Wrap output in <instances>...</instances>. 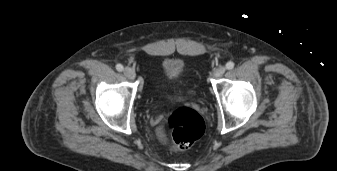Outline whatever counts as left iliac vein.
Listing matches in <instances>:
<instances>
[{"mask_svg": "<svg viewBox=\"0 0 337 171\" xmlns=\"http://www.w3.org/2000/svg\"><path fill=\"white\" fill-rule=\"evenodd\" d=\"M225 71H226V68L224 66H220L214 70L212 77L219 78L225 73Z\"/></svg>", "mask_w": 337, "mask_h": 171, "instance_id": "4c4485c4", "label": "left iliac vein"}]
</instances>
